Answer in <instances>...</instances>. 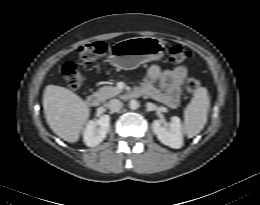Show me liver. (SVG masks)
Instances as JSON below:
<instances>
[{
    "label": "liver",
    "mask_w": 260,
    "mask_h": 205,
    "mask_svg": "<svg viewBox=\"0 0 260 205\" xmlns=\"http://www.w3.org/2000/svg\"><path fill=\"white\" fill-rule=\"evenodd\" d=\"M43 109L49 127L57 136L70 143L78 141L90 115L84 100L67 88L47 85Z\"/></svg>",
    "instance_id": "liver-1"
}]
</instances>
